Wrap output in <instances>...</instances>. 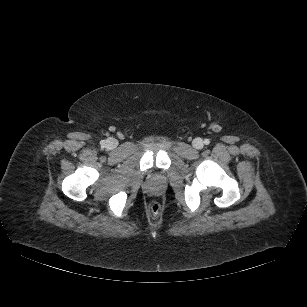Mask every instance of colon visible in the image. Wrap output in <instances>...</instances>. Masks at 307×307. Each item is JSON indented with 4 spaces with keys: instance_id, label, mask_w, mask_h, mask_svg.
Segmentation results:
<instances>
[{
    "instance_id": "5ec220e1",
    "label": "colon",
    "mask_w": 307,
    "mask_h": 307,
    "mask_svg": "<svg viewBox=\"0 0 307 307\" xmlns=\"http://www.w3.org/2000/svg\"><path fill=\"white\" fill-rule=\"evenodd\" d=\"M149 209L152 214H157L160 211V205L157 202H153L150 204Z\"/></svg>"
}]
</instances>
